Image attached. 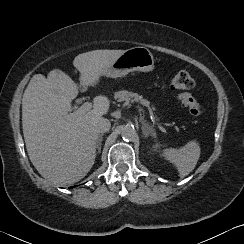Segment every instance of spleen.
<instances>
[{"label":"spleen","mask_w":244,"mask_h":244,"mask_svg":"<svg viewBox=\"0 0 244 244\" xmlns=\"http://www.w3.org/2000/svg\"><path fill=\"white\" fill-rule=\"evenodd\" d=\"M200 153V144L196 139H193L181 148L163 149L161 156L171 162L178 170L179 176L184 178L195 168Z\"/></svg>","instance_id":"3e777b00"}]
</instances>
